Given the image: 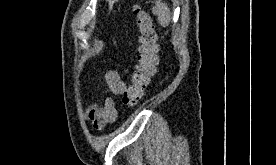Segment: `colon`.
<instances>
[{
  "mask_svg": "<svg viewBox=\"0 0 276 165\" xmlns=\"http://www.w3.org/2000/svg\"><path fill=\"white\" fill-rule=\"evenodd\" d=\"M138 28V62L131 83L123 95V104L135 106L143 98L151 77L156 73L159 57L158 35L148 12L134 8Z\"/></svg>",
  "mask_w": 276,
  "mask_h": 165,
  "instance_id": "1",
  "label": "colon"
}]
</instances>
